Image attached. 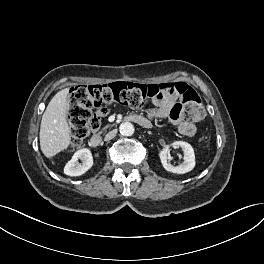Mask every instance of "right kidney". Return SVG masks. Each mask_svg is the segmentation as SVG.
Masks as SVG:
<instances>
[{"label": "right kidney", "instance_id": "right-kidney-1", "mask_svg": "<svg viewBox=\"0 0 264 264\" xmlns=\"http://www.w3.org/2000/svg\"><path fill=\"white\" fill-rule=\"evenodd\" d=\"M81 159L82 163L78 160ZM93 165L92 153L89 149L83 148L74 153L71 160L64 167V173L68 176H80L88 171Z\"/></svg>", "mask_w": 264, "mask_h": 264}]
</instances>
